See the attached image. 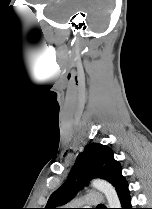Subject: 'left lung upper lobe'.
<instances>
[{"label":"left lung upper lobe","mask_w":152,"mask_h":209,"mask_svg":"<svg viewBox=\"0 0 152 209\" xmlns=\"http://www.w3.org/2000/svg\"><path fill=\"white\" fill-rule=\"evenodd\" d=\"M121 172L122 167L114 159L109 146L98 143L88 144L78 155L67 180L49 197L44 209H58L59 206L68 203L93 178L107 180L118 191L126 181Z\"/></svg>","instance_id":"1"}]
</instances>
